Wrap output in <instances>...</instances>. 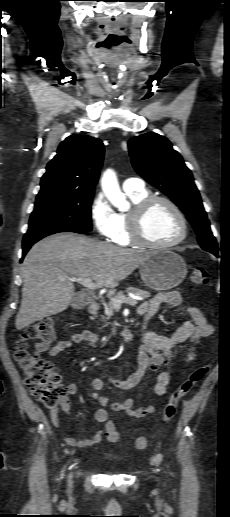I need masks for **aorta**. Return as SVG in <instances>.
Returning a JSON list of instances; mask_svg holds the SVG:
<instances>
[{
  "instance_id": "aorta-1",
  "label": "aorta",
  "mask_w": 230,
  "mask_h": 517,
  "mask_svg": "<svg viewBox=\"0 0 230 517\" xmlns=\"http://www.w3.org/2000/svg\"><path fill=\"white\" fill-rule=\"evenodd\" d=\"M101 187L108 198V200L119 210H124L127 207V201L124 194L121 192L116 173L108 169L101 178Z\"/></svg>"
}]
</instances>
